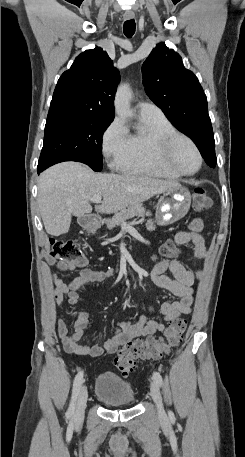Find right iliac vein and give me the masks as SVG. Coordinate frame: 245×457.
Masks as SVG:
<instances>
[{"mask_svg":"<svg viewBox=\"0 0 245 457\" xmlns=\"http://www.w3.org/2000/svg\"><path fill=\"white\" fill-rule=\"evenodd\" d=\"M87 399H88V391H87V388L85 386H83L80 390L78 400L76 403V408L74 411L73 419H74L75 423H80L83 420Z\"/></svg>","mask_w":245,"mask_h":457,"instance_id":"right-iliac-vein-1","label":"right iliac vein"}]
</instances>
